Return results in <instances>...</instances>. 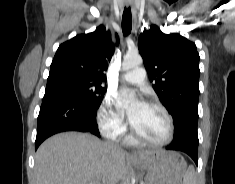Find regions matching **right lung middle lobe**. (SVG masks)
I'll list each match as a JSON object with an SVG mask.
<instances>
[{"mask_svg": "<svg viewBox=\"0 0 235 184\" xmlns=\"http://www.w3.org/2000/svg\"><path fill=\"white\" fill-rule=\"evenodd\" d=\"M63 90L73 93L87 104L99 107L106 88L94 83H86L76 79H65L61 86Z\"/></svg>", "mask_w": 235, "mask_h": 184, "instance_id": "dd1d6c3e", "label": "right lung middle lobe"}]
</instances>
